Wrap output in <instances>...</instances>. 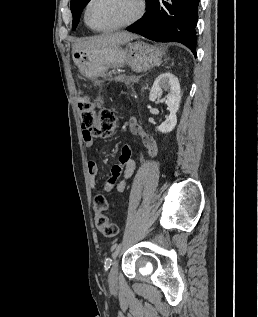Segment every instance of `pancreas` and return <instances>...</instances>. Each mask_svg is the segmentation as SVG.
I'll return each mask as SVG.
<instances>
[{"label":"pancreas","mask_w":258,"mask_h":317,"mask_svg":"<svg viewBox=\"0 0 258 317\" xmlns=\"http://www.w3.org/2000/svg\"><path fill=\"white\" fill-rule=\"evenodd\" d=\"M139 78L140 76H129L127 82H137ZM117 81L119 84H124L126 80L124 77H119ZM121 93L123 94L124 92L122 91Z\"/></svg>","instance_id":"cf45deb5"}]
</instances>
